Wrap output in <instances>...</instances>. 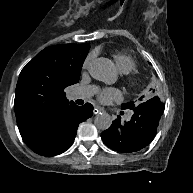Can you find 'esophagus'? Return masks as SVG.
Listing matches in <instances>:
<instances>
[{"label": "esophagus", "instance_id": "obj_1", "mask_svg": "<svg viewBox=\"0 0 193 193\" xmlns=\"http://www.w3.org/2000/svg\"><path fill=\"white\" fill-rule=\"evenodd\" d=\"M101 111V109L99 107H95L93 110L94 114H98Z\"/></svg>", "mask_w": 193, "mask_h": 193}]
</instances>
